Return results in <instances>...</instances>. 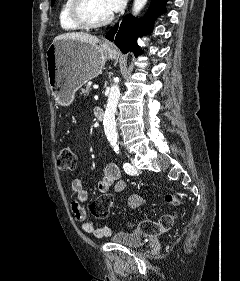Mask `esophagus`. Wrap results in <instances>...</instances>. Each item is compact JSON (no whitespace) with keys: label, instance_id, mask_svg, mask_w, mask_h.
<instances>
[{"label":"esophagus","instance_id":"esophagus-1","mask_svg":"<svg viewBox=\"0 0 240 281\" xmlns=\"http://www.w3.org/2000/svg\"><path fill=\"white\" fill-rule=\"evenodd\" d=\"M106 44H108V45H109L110 43H109V42H106Z\"/></svg>","mask_w":240,"mask_h":281}]
</instances>
